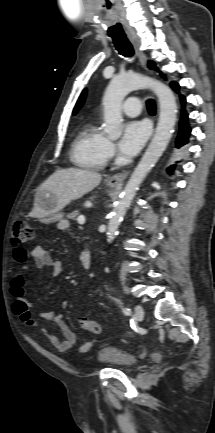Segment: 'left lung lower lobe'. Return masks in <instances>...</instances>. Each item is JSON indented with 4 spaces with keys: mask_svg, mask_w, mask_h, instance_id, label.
<instances>
[{
    "mask_svg": "<svg viewBox=\"0 0 215 433\" xmlns=\"http://www.w3.org/2000/svg\"><path fill=\"white\" fill-rule=\"evenodd\" d=\"M171 87L175 90L178 91L179 89V85L175 82L171 83ZM181 98V102L182 104L185 103V98L183 96H180ZM187 114L185 112V110L182 111V117H181V121H180V131L178 133V137L176 140V147L179 148L184 144L188 143V137L190 135V127L188 125V120H187ZM175 165H172L168 168V171L171 173L174 169Z\"/></svg>",
    "mask_w": 215,
    "mask_h": 433,
    "instance_id": "obj_1",
    "label": "left lung lower lobe"
}]
</instances>
